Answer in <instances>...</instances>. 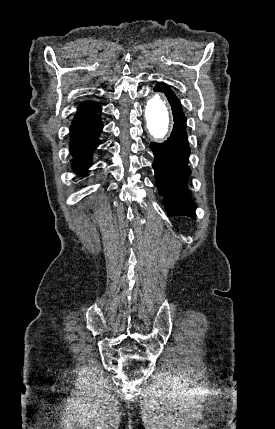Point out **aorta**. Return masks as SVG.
I'll return each mask as SVG.
<instances>
[{
	"instance_id": "762f6f07",
	"label": "aorta",
	"mask_w": 275,
	"mask_h": 429,
	"mask_svg": "<svg viewBox=\"0 0 275 429\" xmlns=\"http://www.w3.org/2000/svg\"><path fill=\"white\" fill-rule=\"evenodd\" d=\"M145 119L150 134L156 139L164 138L171 125L169 104L160 92L152 93L146 102Z\"/></svg>"
}]
</instances>
